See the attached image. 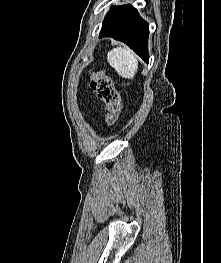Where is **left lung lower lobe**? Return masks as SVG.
Segmentation results:
<instances>
[{"label":"left lung lower lobe","mask_w":221,"mask_h":263,"mask_svg":"<svg viewBox=\"0 0 221 263\" xmlns=\"http://www.w3.org/2000/svg\"><path fill=\"white\" fill-rule=\"evenodd\" d=\"M149 25L130 4L113 7L106 15L99 37H113L133 49L146 62Z\"/></svg>","instance_id":"1"}]
</instances>
